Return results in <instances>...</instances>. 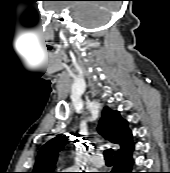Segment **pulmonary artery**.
Returning <instances> with one entry per match:
<instances>
[{"label": "pulmonary artery", "mask_w": 170, "mask_h": 173, "mask_svg": "<svg viewBox=\"0 0 170 173\" xmlns=\"http://www.w3.org/2000/svg\"><path fill=\"white\" fill-rule=\"evenodd\" d=\"M91 164L95 167H101L104 165V160L102 157H100L98 155H93L91 157Z\"/></svg>", "instance_id": "1"}]
</instances>
